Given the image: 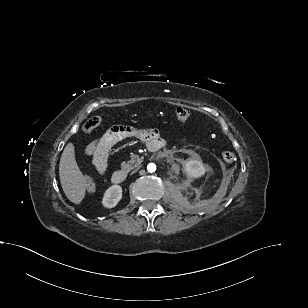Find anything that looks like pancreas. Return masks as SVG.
Returning a JSON list of instances; mask_svg holds the SVG:
<instances>
[{"label": "pancreas", "mask_w": 308, "mask_h": 308, "mask_svg": "<svg viewBox=\"0 0 308 308\" xmlns=\"http://www.w3.org/2000/svg\"><path fill=\"white\" fill-rule=\"evenodd\" d=\"M141 163V159H131L128 162H122L121 168L127 172L131 171Z\"/></svg>", "instance_id": "obj_1"}]
</instances>
